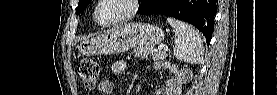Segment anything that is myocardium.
Segmentation results:
<instances>
[{
	"instance_id": "1",
	"label": "myocardium",
	"mask_w": 277,
	"mask_h": 95,
	"mask_svg": "<svg viewBox=\"0 0 277 95\" xmlns=\"http://www.w3.org/2000/svg\"><path fill=\"white\" fill-rule=\"evenodd\" d=\"M108 0H99L94 8V18L95 20L104 27H111L122 22H125L131 19L139 10V1L138 0H117L121 2L125 9L122 14L117 17H114L110 20H103L99 14V8L102 4H104Z\"/></svg>"
}]
</instances>
